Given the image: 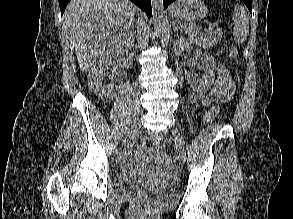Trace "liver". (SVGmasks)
<instances>
[{"label": "liver", "instance_id": "1", "mask_svg": "<svg viewBox=\"0 0 293 219\" xmlns=\"http://www.w3.org/2000/svg\"><path fill=\"white\" fill-rule=\"evenodd\" d=\"M135 12L136 7L128 0H71L63 21L83 73L98 58L128 54L134 36Z\"/></svg>", "mask_w": 293, "mask_h": 219}]
</instances>
